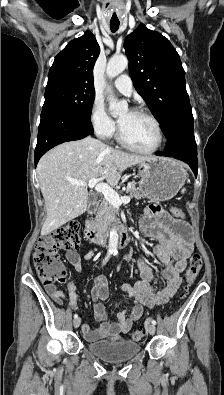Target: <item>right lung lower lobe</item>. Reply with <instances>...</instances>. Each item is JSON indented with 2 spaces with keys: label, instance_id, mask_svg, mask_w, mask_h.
<instances>
[{
  "label": "right lung lower lobe",
  "instance_id": "1",
  "mask_svg": "<svg viewBox=\"0 0 224 395\" xmlns=\"http://www.w3.org/2000/svg\"><path fill=\"white\" fill-rule=\"evenodd\" d=\"M92 134L90 120L53 105L44 104L35 149V166L40 157L54 146Z\"/></svg>",
  "mask_w": 224,
  "mask_h": 395
}]
</instances>
